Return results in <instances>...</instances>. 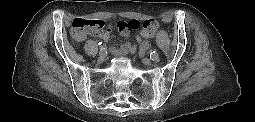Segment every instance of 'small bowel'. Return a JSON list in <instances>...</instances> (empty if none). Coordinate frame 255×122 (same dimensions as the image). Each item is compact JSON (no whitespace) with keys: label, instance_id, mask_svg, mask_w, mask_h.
Returning a JSON list of instances; mask_svg holds the SVG:
<instances>
[{"label":"small bowel","instance_id":"obj_1","mask_svg":"<svg viewBox=\"0 0 255 122\" xmlns=\"http://www.w3.org/2000/svg\"><path fill=\"white\" fill-rule=\"evenodd\" d=\"M119 31L123 37H126V36H128L130 30L126 27H123V28L119 29ZM88 33L92 34V35H96V36L102 38L106 42L110 38L109 31H104V30L103 31H92L91 30ZM85 37L86 36L84 34V36L81 39H84ZM149 38H151V36H143L140 32L137 34L136 40L139 43V51L140 52H144L149 47V42H148ZM135 50H136V47L131 45L130 43H122L120 46L114 48V52L121 56L126 55L128 53H133V52H135Z\"/></svg>","mask_w":255,"mask_h":122}]
</instances>
